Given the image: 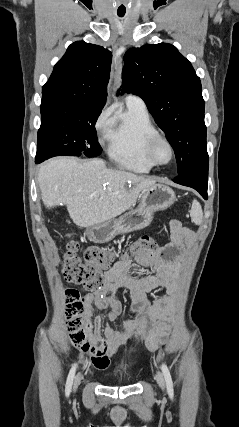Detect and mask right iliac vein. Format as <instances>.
Masks as SVG:
<instances>
[{
	"mask_svg": "<svg viewBox=\"0 0 239 427\" xmlns=\"http://www.w3.org/2000/svg\"><path fill=\"white\" fill-rule=\"evenodd\" d=\"M82 380V374L78 373L75 377V381H74V391H76V389L78 388V386L80 385Z\"/></svg>",
	"mask_w": 239,
	"mask_h": 427,
	"instance_id": "right-iliac-vein-1",
	"label": "right iliac vein"
}]
</instances>
